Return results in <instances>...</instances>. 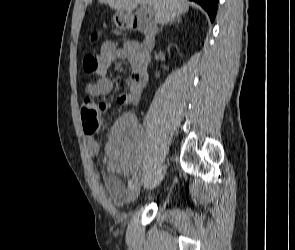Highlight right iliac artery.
Listing matches in <instances>:
<instances>
[{
	"label": "right iliac artery",
	"instance_id": "1",
	"mask_svg": "<svg viewBox=\"0 0 295 250\" xmlns=\"http://www.w3.org/2000/svg\"><path fill=\"white\" fill-rule=\"evenodd\" d=\"M138 181V176L135 174V176L132 177V179L129 182V188L132 189Z\"/></svg>",
	"mask_w": 295,
	"mask_h": 250
}]
</instances>
